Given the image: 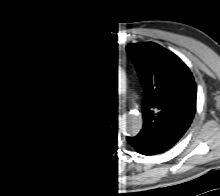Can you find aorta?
<instances>
[{
	"instance_id": "aorta-1",
	"label": "aorta",
	"mask_w": 220,
	"mask_h": 196,
	"mask_svg": "<svg viewBox=\"0 0 220 196\" xmlns=\"http://www.w3.org/2000/svg\"><path fill=\"white\" fill-rule=\"evenodd\" d=\"M118 89L119 94L123 96L127 95V82L120 72L118 73ZM121 127L126 133L136 134L142 127V118L140 116L125 114L121 119Z\"/></svg>"
}]
</instances>
